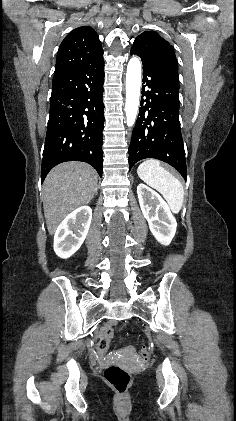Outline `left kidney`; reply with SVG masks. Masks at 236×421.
<instances>
[{
	"label": "left kidney",
	"mask_w": 236,
	"mask_h": 421,
	"mask_svg": "<svg viewBox=\"0 0 236 421\" xmlns=\"http://www.w3.org/2000/svg\"><path fill=\"white\" fill-rule=\"evenodd\" d=\"M137 194L141 211L149 223L152 235L161 245H170L176 233L177 223L167 202L158 192L142 182L137 186Z\"/></svg>",
	"instance_id": "1"
}]
</instances>
